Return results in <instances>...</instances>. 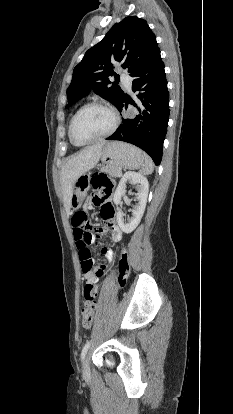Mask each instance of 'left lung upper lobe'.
Wrapping results in <instances>:
<instances>
[{"instance_id":"5c2ea615","label":"left lung upper lobe","mask_w":233,"mask_h":414,"mask_svg":"<svg viewBox=\"0 0 233 414\" xmlns=\"http://www.w3.org/2000/svg\"><path fill=\"white\" fill-rule=\"evenodd\" d=\"M158 50L156 37L145 20L128 16L114 24L98 44L87 50L74 68L67 89L69 102L66 107L69 108L90 91L118 107L124 92L109 80L110 76H117L114 65L121 63L122 68L133 76L149 63Z\"/></svg>"}]
</instances>
